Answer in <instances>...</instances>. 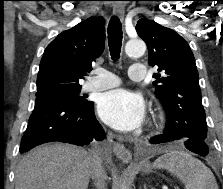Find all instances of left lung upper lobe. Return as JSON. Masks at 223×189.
<instances>
[{"instance_id": "obj_1", "label": "left lung upper lobe", "mask_w": 223, "mask_h": 189, "mask_svg": "<svg viewBox=\"0 0 223 189\" xmlns=\"http://www.w3.org/2000/svg\"><path fill=\"white\" fill-rule=\"evenodd\" d=\"M136 31L147 44L149 65L158 67L153 84L167 112L164 134L207 142L199 76L188 43L174 30L146 18L137 22Z\"/></svg>"}]
</instances>
